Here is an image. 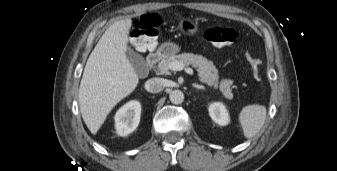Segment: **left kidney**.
Wrapping results in <instances>:
<instances>
[{
  "label": "left kidney",
  "instance_id": "obj_1",
  "mask_svg": "<svg viewBox=\"0 0 337 171\" xmlns=\"http://www.w3.org/2000/svg\"><path fill=\"white\" fill-rule=\"evenodd\" d=\"M209 115L215 123L221 126L229 123V115L226 107L220 102L212 103L209 106Z\"/></svg>",
  "mask_w": 337,
  "mask_h": 171
}]
</instances>
